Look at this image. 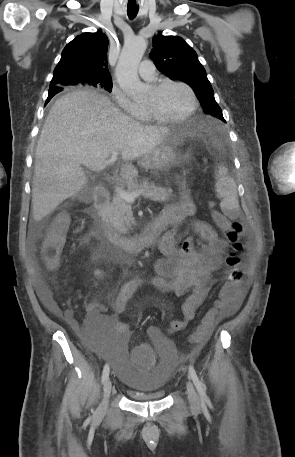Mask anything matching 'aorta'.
<instances>
[{
	"instance_id": "obj_1",
	"label": "aorta",
	"mask_w": 295,
	"mask_h": 457,
	"mask_svg": "<svg viewBox=\"0 0 295 457\" xmlns=\"http://www.w3.org/2000/svg\"><path fill=\"white\" fill-rule=\"evenodd\" d=\"M147 48L143 37H134L124 43L116 66L120 88L129 96L139 99L146 94V87L138 77V66Z\"/></svg>"
}]
</instances>
